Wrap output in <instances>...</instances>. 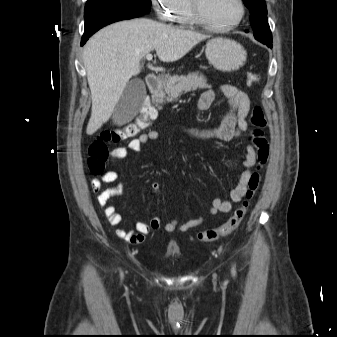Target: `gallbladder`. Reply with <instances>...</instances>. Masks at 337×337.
<instances>
[{"label":"gallbladder","instance_id":"obj_1","mask_svg":"<svg viewBox=\"0 0 337 337\" xmlns=\"http://www.w3.org/2000/svg\"><path fill=\"white\" fill-rule=\"evenodd\" d=\"M145 98V85L141 79L127 83L113 112V120L118 124L129 122L141 108Z\"/></svg>","mask_w":337,"mask_h":337}]
</instances>
